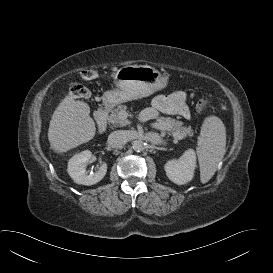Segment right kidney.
Masks as SVG:
<instances>
[{
  "label": "right kidney",
  "mask_w": 273,
  "mask_h": 273,
  "mask_svg": "<svg viewBox=\"0 0 273 273\" xmlns=\"http://www.w3.org/2000/svg\"><path fill=\"white\" fill-rule=\"evenodd\" d=\"M91 157L92 153L89 150H85L74 155L69 160L67 171L77 184L89 186L98 183L104 178L108 168L106 163H103L98 171L87 174L86 166Z\"/></svg>",
  "instance_id": "ca27d5eb"
}]
</instances>
